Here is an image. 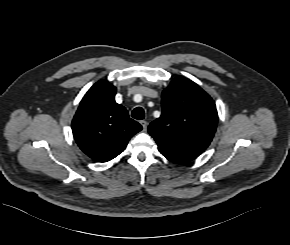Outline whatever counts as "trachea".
I'll use <instances>...</instances> for the list:
<instances>
[{"mask_svg": "<svg viewBox=\"0 0 290 245\" xmlns=\"http://www.w3.org/2000/svg\"><path fill=\"white\" fill-rule=\"evenodd\" d=\"M132 117L137 120H142L145 117L144 109L142 107H136L132 111Z\"/></svg>", "mask_w": 290, "mask_h": 245, "instance_id": "obj_1", "label": "trachea"}]
</instances>
